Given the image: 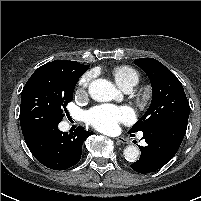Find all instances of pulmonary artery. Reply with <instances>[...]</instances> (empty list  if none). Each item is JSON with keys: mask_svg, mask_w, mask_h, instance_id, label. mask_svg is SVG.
<instances>
[{"mask_svg": "<svg viewBox=\"0 0 201 201\" xmlns=\"http://www.w3.org/2000/svg\"><path fill=\"white\" fill-rule=\"evenodd\" d=\"M131 90H132V88L129 87V88H126L124 91H126V92H130Z\"/></svg>", "mask_w": 201, "mask_h": 201, "instance_id": "pulmonary-artery-1", "label": "pulmonary artery"}]
</instances>
